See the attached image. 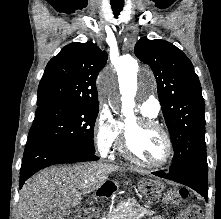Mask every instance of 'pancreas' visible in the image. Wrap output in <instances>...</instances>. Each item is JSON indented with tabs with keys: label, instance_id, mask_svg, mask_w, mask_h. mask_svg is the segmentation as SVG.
I'll return each instance as SVG.
<instances>
[{
	"label": "pancreas",
	"instance_id": "obj_1",
	"mask_svg": "<svg viewBox=\"0 0 221 219\" xmlns=\"http://www.w3.org/2000/svg\"><path fill=\"white\" fill-rule=\"evenodd\" d=\"M153 211L140 206L135 199L125 206L121 204L109 211L107 219H141L145 215H152Z\"/></svg>",
	"mask_w": 221,
	"mask_h": 219
}]
</instances>
